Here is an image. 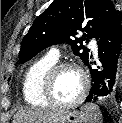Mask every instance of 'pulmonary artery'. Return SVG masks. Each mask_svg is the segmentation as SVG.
Wrapping results in <instances>:
<instances>
[{
    "label": "pulmonary artery",
    "instance_id": "1",
    "mask_svg": "<svg viewBox=\"0 0 122 123\" xmlns=\"http://www.w3.org/2000/svg\"><path fill=\"white\" fill-rule=\"evenodd\" d=\"M90 47H91L93 53L96 55L97 54V50H98L97 44L94 41H92L90 43ZM47 56L50 57L51 59L57 61L60 58V52H59L58 49L53 48V49H51L49 51V53L47 54Z\"/></svg>",
    "mask_w": 122,
    "mask_h": 123
}]
</instances>
